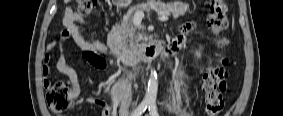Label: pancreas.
<instances>
[{"label": "pancreas", "mask_w": 283, "mask_h": 116, "mask_svg": "<svg viewBox=\"0 0 283 116\" xmlns=\"http://www.w3.org/2000/svg\"><path fill=\"white\" fill-rule=\"evenodd\" d=\"M150 7H156L160 14L172 15L175 19L183 16L189 8L188 4L179 1L165 4L155 0L130 8L126 15H124L121 24L116 25L111 33V37L118 47L129 48L131 50H136L139 47L141 39L135 35L136 29L133 25L134 13L136 11H148Z\"/></svg>", "instance_id": "pancreas-1"}]
</instances>
